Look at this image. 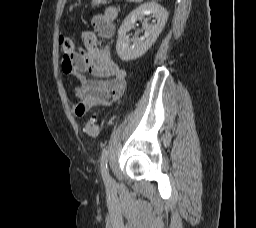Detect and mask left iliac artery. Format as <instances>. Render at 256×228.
<instances>
[{
  "mask_svg": "<svg viewBox=\"0 0 256 228\" xmlns=\"http://www.w3.org/2000/svg\"><path fill=\"white\" fill-rule=\"evenodd\" d=\"M108 153H109V151L107 149H104L101 154V172H102V176H103L104 180H106L109 177L108 166H107Z\"/></svg>",
  "mask_w": 256,
  "mask_h": 228,
  "instance_id": "1",
  "label": "left iliac artery"
}]
</instances>
